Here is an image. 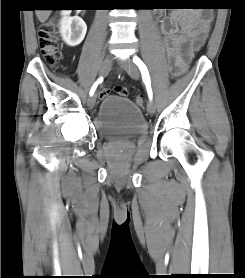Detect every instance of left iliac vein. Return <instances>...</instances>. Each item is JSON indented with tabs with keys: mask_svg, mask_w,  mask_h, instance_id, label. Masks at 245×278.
I'll list each match as a JSON object with an SVG mask.
<instances>
[{
	"mask_svg": "<svg viewBox=\"0 0 245 278\" xmlns=\"http://www.w3.org/2000/svg\"><path fill=\"white\" fill-rule=\"evenodd\" d=\"M122 65L124 67V69L127 71V73L134 79H138L139 78V70L138 67L132 63L129 59L125 60L122 62ZM147 111L150 114H154L155 113V104L152 101H149L148 105H147Z\"/></svg>",
	"mask_w": 245,
	"mask_h": 278,
	"instance_id": "left-iliac-vein-1",
	"label": "left iliac vein"
}]
</instances>
